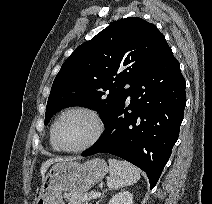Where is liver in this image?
Returning <instances> with one entry per match:
<instances>
[{"label":"liver","instance_id":"obj_1","mask_svg":"<svg viewBox=\"0 0 212 204\" xmlns=\"http://www.w3.org/2000/svg\"><path fill=\"white\" fill-rule=\"evenodd\" d=\"M63 161H69V160L68 159H61V158H54V159H48L47 161H45L42 164L41 169H40L42 179H44V175H45L47 169L50 167V165H52L53 163H56V162H63Z\"/></svg>","mask_w":212,"mask_h":204}]
</instances>
